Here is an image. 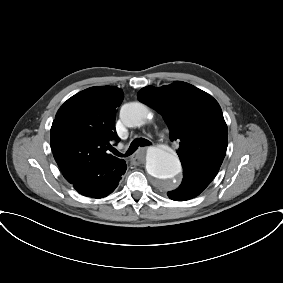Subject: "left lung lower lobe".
Returning <instances> with one entry per match:
<instances>
[{
  "mask_svg": "<svg viewBox=\"0 0 283 283\" xmlns=\"http://www.w3.org/2000/svg\"><path fill=\"white\" fill-rule=\"evenodd\" d=\"M210 182L196 179L190 175L184 174L183 181L179 188L168 192V197L175 201H185L199 195Z\"/></svg>",
  "mask_w": 283,
  "mask_h": 283,
  "instance_id": "1",
  "label": "left lung lower lobe"
}]
</instances>
